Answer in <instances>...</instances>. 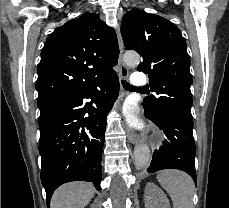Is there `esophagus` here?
<instances>
[{"instance_id":"34e87169","label":"esophagus","mask_w":229,"mask_h":208,"mask_svg":"<svg viewBox=\"0 0 229 208\" xmlns=\"http://www.w3.org/2000/svg\"><path fill=\"white\" fill-rule=\"evenodd\" d=\"M115 32L117 35V39H118V45H119V49H120V54H119V58H118V66H119V78L122 80H125L128 78L129 76V72L128 69L125 65V63L123 62L122 59V55H123V40H122V36H121V32H120V26L116 25L115 27ZM121 98L123 97V93L120 94ZM126 132H127V138L130 141V143H136L137 141V134L135 133L134 130H132V128L127 127L126 128Z\"/></svg>"}]
</instances>
